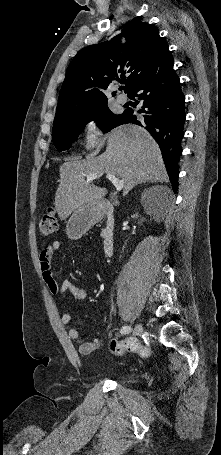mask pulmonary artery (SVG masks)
Returning a JSON list of instances; mask_svg holds the SVG:
<instances>
[{"instance_id":"1","label":"pulmonary artery","mask_w":221,"mask_h":455,"mask_svg":"<svg viewBox=\"0 0 221 455\" xmlns=\"http://www.w3.org/2000/svg\"><path fill=\"white\" fill-rule=\"evenodd\" d=\"M117 100L120 102V103H126L128 101V97L124 94H120L117 96Z\"/></svg>"}]
</instances>
